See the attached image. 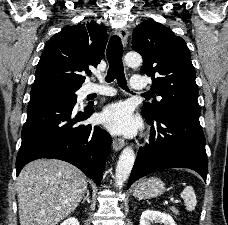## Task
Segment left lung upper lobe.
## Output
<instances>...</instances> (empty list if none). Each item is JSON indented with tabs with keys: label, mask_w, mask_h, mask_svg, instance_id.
<instances>
[{
	"label": "left lung upper lobe",
	"mask_w": 228,
	"mask_h": 225,
	"mask_svg": "<svg viewBox=\"0 0 228 225\" xmlns=\"http://www.w3.org/2000/svg\"><path fill=\"white\" fill-rule=\"evenodd\" d=\"M132 48L142 55L141 72L151 76L153 94L162 97L160 101L144 103L145 118L155 119L165 110L200 114L195 69L181 37L161 23L148 19L134 29Z\"/></svg>",
	"instance_id": "left-lung-upper-lobe-1"
}]
</instances>
